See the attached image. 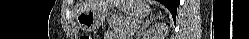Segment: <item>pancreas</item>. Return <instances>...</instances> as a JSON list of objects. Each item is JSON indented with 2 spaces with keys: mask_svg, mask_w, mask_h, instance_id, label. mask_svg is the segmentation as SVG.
Returning <instances> with one entry per match:
<instances>
[{
  "mask_svg": "<svg viewBox=\"0 0 249 39\" xmlns=\"http://www.w3.org/2000/svg\"><path fill=\"white\" fill-rule=\"evenodd\" d=\"M109 26L122 38H129L138 25L127 17H113L108 20Z\"/></svg>",
  "mask_w": 249,
  "mask_h": 39,
  "instance_id": "cf45deb5",
  "label": "pancreas"
}]
</instances>
